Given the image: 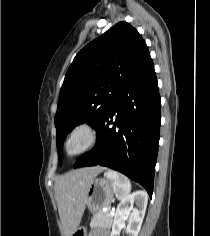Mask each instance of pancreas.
<instances>
[{
  "instance_id": "1",
  "label": "pancreas",
  "mask_w": 210,
  "mask_h": 236,
  "mask_svg": "<svg viewBox=\"0 0 210 236\" xmlns=\"http://www.w3.org/2000/svg\"><path fill=\"white\" fill-rule=\"evenodd\" d=\"M113 216L109 212H98L96 213L90 223L92 228L104 227L109 228L112 225Z\"/></svg>"
}]
</instances>
